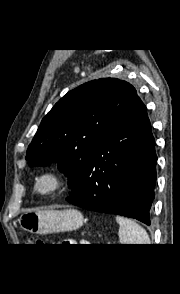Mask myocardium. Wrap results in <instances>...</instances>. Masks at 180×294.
Segmentation results:
<instances>
[{"label":"myocardium","mask_w":180,"mask_h":294,"mask_svg":"<svg viewBox=\"0 0 180 294\" xmlns=\"http://www.w3.org/2000/svg\"><path fill=\"white\" fill-rule=\"evenodd\" d=\"M47 183V185H45ZM64 185V177L57 170H46L40 173L33 182V189L42 196H49L59 191Z\"/></svg>","instance_id":"obj_1"}]
</instances>
